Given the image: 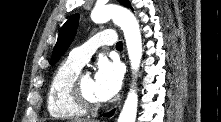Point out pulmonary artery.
<instances>
[{
	"instance_id": "1",
	"label": "pulmonary artery",
	"mask_w": 221,
	"mask_h": 122,
	"mask_svg": "<svg viewBox=\"0 0 221 122\" xmlns=\"http://www.w3.org/2000/svg\"><path fill=\"white\" fill-rule=\"evenodd\" d=\"M115 42L116 36L112 30L101 31L83 45L73 49L69 58L82 67L99 47L103 45L112 46Z\"/></svg>"
}]
</instances>
